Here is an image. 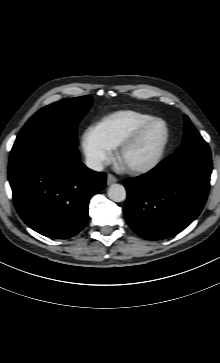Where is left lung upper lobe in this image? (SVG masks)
I'll list each match as a JSON object with an SVG mask.
<instances>
[{
	"instance_id": "5c2ea615",
	"label": "left lung upper lobe",
	"mask_w": 220,
	"mask_h": 363,
	"mask_svg": "<svg viewBox=\"0 0 220 363\" xmlns=\"http://www.w3.org/2000/svg\"><path fill=\"white\" fill-rule=\"evenodd\" d=\"M184 137L181 146L176 150L180 151L186 148H202L209 149L208 144L204 141L198 131L193 127L190 120L187 116H185V125H184Z\"/></svg>"
}]
</instances>
